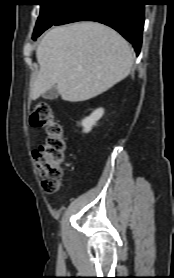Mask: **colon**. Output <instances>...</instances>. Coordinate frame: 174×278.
<instances>
[{
    "label": "colon",
    "instance_id": "obj_1",
    "mask_svg": "<svg viewBox=\"0 0 174 278\" xmlns=\"http://www.w3.org/2000/svg\"><path fill=\"white\" fill-rule=\"evenodd\" d=\"M30 124L42 128L45 137L33 151L35 167L42 178V188L55 193L60 187L62 165L66 158V140L61 123L56 119L49 104L38 102L29 115Z\"/></svg>",
    "mask_w": 174,
    "mask_h": 278
}]
</instances>
